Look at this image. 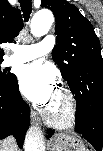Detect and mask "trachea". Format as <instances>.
I'll return each instance as SVG.
<instances>
[{
  "label": "trachea",
  "mask_w": 103,
  "mask_h": 151,
  "mask_svg": "<svg viewBox=\"0 0 103 151\" xmlns=\"http://www.w3.org/2000/svg\"><path fill=\"white\" fill-rule=\"evenodd\" d=\"M19 2L21 4V9H22L25 21H28L31 11H32V1L31 0H19Z\"/></svg>",
  "instance_id": "trachea-1"
}]
</instances>
